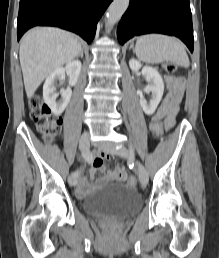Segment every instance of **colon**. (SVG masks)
<instances>
[{"mask_svg":"<svg viewBox=\"0 0 219 258\" xmlns=\"http://www.w3.org/2000/svg\"><path fill=\"white\" fill-rule=\"evenodd\" d=\"M168 73L176 71L177 67L174 63L166 62L163 65ZM30 117L33 119L37 129L48 142L53 141L61 131L62 119L53 114L49 107L44 103L40 96H33L29 103ZM164 123L163 119L155 115L150 123V130L155 140H159L163 135ZM128 185L132 188L137 187V180L135 177L128 179Z\"/></svg>","mask_w":219,"mask_h":258,"instance_id":"obj_1","label":"colon"}]
</instances>
